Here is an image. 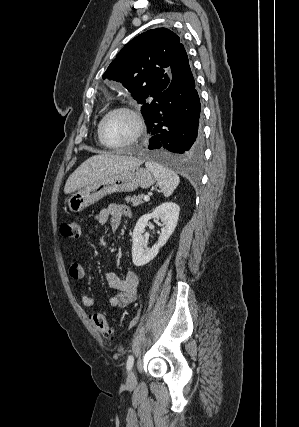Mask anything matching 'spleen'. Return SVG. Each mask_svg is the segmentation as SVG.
<instances>
[{"label":"spleen","mask_w":299,"mask_h":427,"mask_svg":"<svg viewBox=\"0 0 299 427\" xmlns=\"http://www.w3.org/2000/svg\"><path fill=\"white\" fill-rule=\"evenodd\" d=\"M145 166L155 177L164 196L169 197L180 183L179 176L173 170L153 161H147Z\"/></svg>","instance_id":"3e777b00"}]
</instances>
